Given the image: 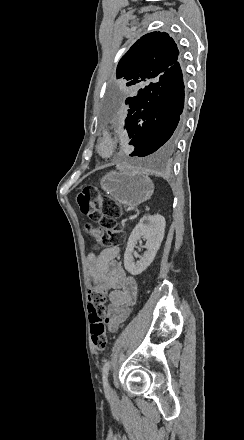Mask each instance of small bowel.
<instances>
[{
    "label": "small bowel",
    "mask_w": 244,
    "mask_h": 440,
    "mask_svg": "<svg viewBox=\"0 0 244 440\" xmlns=\"http://www.w3.org/2000/svg\"><path fill=\"white\" fill-rule=\"evenodd\" d=\"M120 253L118 246L105 248L98 255L90 254L87 258L88 277L93 290L109 291L107 309V328L112 334L130 316L138 299V284L128 276L117 260Z\"/></svg>",
    "instance_id": "c3829d8e"
}]
</instances>
